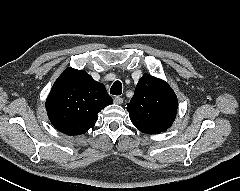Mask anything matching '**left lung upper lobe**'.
Listing matches in <instances>:
<instances>
[{"instance_id":"5c2ea615","label":"left lung upper lobe","mask_w":240,"mask_h":191,"mask_svg":"<svg viewBox=\"0 0 240 191\" xmlns=\"http://www.w3.org/2000/svg\"><path fill=\"white\" fill-rule=\"evenodd\" d=\"M178 109L177 97L163 80L144 74L127 104L132 123L143 133L158 134L171 127Z\"/></svg>"}]
</instances>
